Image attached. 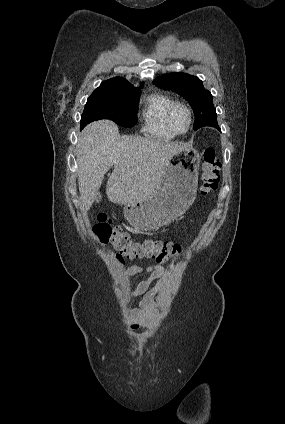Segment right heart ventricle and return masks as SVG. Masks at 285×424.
<instances>
[{
  "mask_svg": "<svg viewBox=\"0 0 285 424\" xmlns=\"http://www.w3.org/2000/svg\"><path fill=\"white\" fill-rule=\"evenodd\" d=\"M175 102L171 96L162 93L149 96L143 111V131L160 139H173L177 134L170 129L167 117Z\"/></svg>",
  "mask_w": 285,
  "mask_h": 424,
  "instance_id": "obj_1",
  "label": "right heart ventricle"
}]
</instances>
